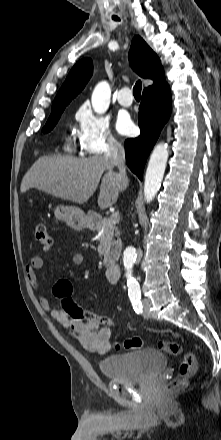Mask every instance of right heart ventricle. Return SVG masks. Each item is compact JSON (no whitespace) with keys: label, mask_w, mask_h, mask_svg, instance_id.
Segmentation results:
<instances>
[{"label":"right heart ventricle","mask_w":221,"mask_h":440,"mask_svg":"<svg viewBox=\"0 0 221 440\" xmlns=\"http://www.w3.org/2000/svg\"><path fill=\"white\" fill-rule=\"evenodd\" d=\"M65 145H66V150L67 151H71L72 150V146H71V143L69 141H67Z\"/></svg>","instance_id":"1"}]
</instances>
